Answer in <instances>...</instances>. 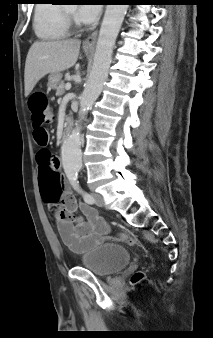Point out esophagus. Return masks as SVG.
I'll use <instances>...</instances> for the list:
<instances>
[{"label":"esophagus","mask_w":213,"mask_h":338,"mask_svg":"<svg viewBox=\"0 0 213 338\" xmlns=\"http://www.w3.org/2000/svg\"><path fill=\"white\" fill-rule=\"evenodd\" d=\"M97 40V31H94L84 42V47H94Z\"/></svg>","instance_id":"34e87169"}]
</instances>
